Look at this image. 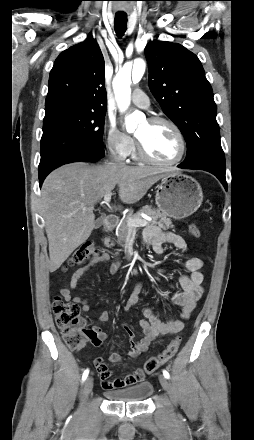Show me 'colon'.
Here are the masks:
<instances>
[{"mask_svg": "<svg viewBox=\"0 0 254 440\" xmlns=\"http://www.w3.org/2000/svg\"><path fill=\"white\" fill-rule=\"evenodd\" d=\"M189 233L193 237H200L201 232L197 225L189 226ZM97 254L95 245L91 242L80 245L70 256L68 263L78 265ZM53 311L58 328L61 330L62 337L66 345L73 350L82 348L94 332L87 327L86 320L80 316L79 307L61 297H56L53 301ZM180 339H173L168 346L158 355L149 358L144 364V371L148 374L154 373L161 365L172 359L177 353Z\"/></svg>", "mask_w": 254, "mask_h": 440, "instance_id": "1", "label": "colon"}]
</instances>
